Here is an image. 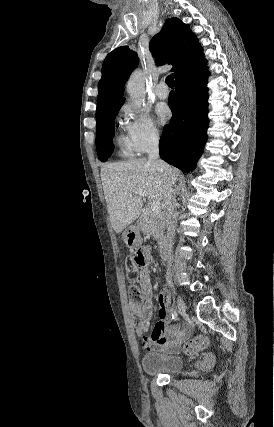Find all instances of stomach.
I'll return each mask as SVG.
<instances>
[{
    "instance_id": "1",
    "label": "stomach",
    "mask_w": 274,
    "mask_h": 427,
    "mask_svg": "<svg viewBox=\"0 0 274 427\" xmlns=\"http://www.w3.org/2000/svg\"><path fill=\"white\" fill-rule=\"evenodd\" d=\"M122 237L128 247H137V245L142 243V237L140 235V229L138 225H128Z\"/></svg>"
}]
</instances>
